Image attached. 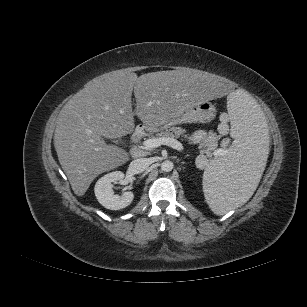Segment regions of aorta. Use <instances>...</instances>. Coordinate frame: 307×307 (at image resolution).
Masks as SVG:
<instances>
[{"instance_id": "762f6f07", "label": "aorta", "mask_w": 307, "mask_h": 307, "mask_svg": "<svg viewBox=\"0 0 307 307\" xmlns=\"http://www.w3.org/2000/svg\"><path fill=\"white\" fill-rule=\"evenodd\" d=\"M173 162L166 160L161 163V170L164 172H170L173 169Z\"/></svg>"}]
</instances>
